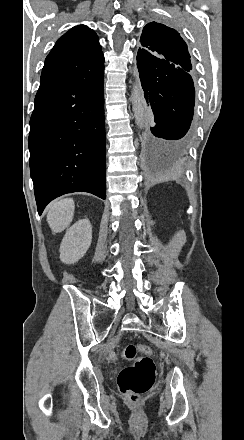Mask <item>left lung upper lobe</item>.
Wrapping results in <instances>:
<instances>
[{
    "label": "left lung upper lobe",
    "mask_w": 244,
    "mask_h": 440,
    "mask_svg": "<svg viewBox=\"0 0 244 440\" xmlns=\"http://www.w3.org/2000/svg\"><path fill=\"white\" fill-rule=\"evenodd\" d=\"M140 42L137 62L192 70L187 45L176 30L153 21L144 27Z\"/></svg>",
    "instance_id": "1"
}]
</instances>
